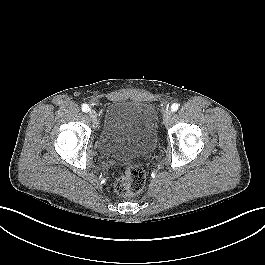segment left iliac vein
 <instances>
[{
  "mask_svg": "<svg viewBox=\"0 0 265 265\" xmlns=\"http://www.w3.org/2000/svg\"><path fill=\"white\" fill-rule=\"evenodd\" d=\"M172 117V112L170 110H166L163 114V121L165 124H167L169 122V120Z\"/></svg>",
  "mask_w": 265,
  "mask_h": 265,
  "instance_id": "4c4485c4",
  "label": "left iliac vein"
}]
</instances>
